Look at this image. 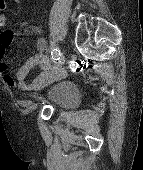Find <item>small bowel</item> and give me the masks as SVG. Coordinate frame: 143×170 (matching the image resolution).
I'll list each match as a JSON object with an SVG mask.
<instances>
[{
	"label": "small bowel",
	"instance_id": "c3829d8e",
	"mask_svg": "<svg viewBox=\"0 0 143 170\" xmlns=\"http://www.w3.org/2000/svg\"><path fill=\"white\" fill-rule=\"evenodd\" d=\"M18 2L19 0H14ZM7 16L0 13V76L8 87H18L23 90L38 89L48 82V75L51 68L50 59L45 55L47 41L45 38H39L36 46L38 52L28 58L26 62L18 69L15 77L7 73V64L4 59V51L15 39V33L6 29ZM38 67L41 73L30 83L26 79L31 70Z\"/></svg>",
	"mask_w": 143,
	"mask_h": 170
}]
</instances>
